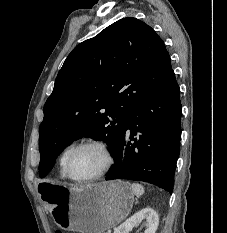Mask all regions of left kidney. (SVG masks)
I'll use <instances>...</instances> for the list:
<instances>
[{
	"label": "left kidney",
	"mask_w": 227,
	"mask_h": 233,
	"mask_svg": "<svg viewBox=\"0 0 227 233\" xmlns=\"http://www.w3.org/2000/svg\"><path fill=\"white\" fill-rule=\"evenodd\" d=\"M142 220H146L144 233H155L159 224L158 214L150 207L144 208L121 224L114 233H129Z\"/></svg>",
	"instance_id": "1"
}]
</instances>
